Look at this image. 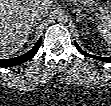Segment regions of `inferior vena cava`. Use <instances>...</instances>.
Wrapping results in <instances>:
<instances>
[{
  "mask_svg": "<svg viewBox=\"0 0 111 106\" xmlns=\"http://www.w3.org/2000/svg\"><path fill=\"white\" fill-rule=\"evenodd\" d=\"M32 15L35 21H40L48 15V10L44 6H38L33 10Z\"/></svg>",
  "mask_w": 111,
  "mask_h": 106,
  "instance_id": "602c4592",
  "label": "inferior vena cava"
}]
</instances>
